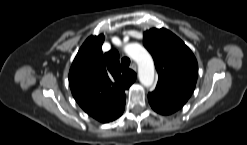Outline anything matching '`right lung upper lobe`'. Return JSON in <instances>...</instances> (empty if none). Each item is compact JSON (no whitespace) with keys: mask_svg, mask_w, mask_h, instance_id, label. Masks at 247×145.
Wrapping results in <instances>:
<instances>
[{"mask_svg":"<svg viewBox=\"0 0 247 145\" xmlns=\"http://www.w3.org/2000/svg\"><path fill=\"white\" fill-rule=\"evenodd\" d=\"M104 36H90L79 49L69 71V85L81 108L93 118L106 123L121 116L125 93L136 73L123 68L119 53H102Z\"/></svg>","mask_w":247,"mask_h":145,"instance_id":"obj_1","label":"right lung upper lobe"}]
</instances>
